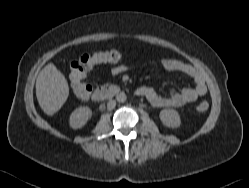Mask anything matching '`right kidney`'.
Returning a JSON list of instances; mask_svg holds the SVG:
<instances>
[{
    "label": "right kidney",
    "instance_id": "ca27d5eb",
    "mask_svg": "<svg viewBox=\"0 0 249 188\" xmlns=\"http://www.w3.org/2000/svg\"><path fill=\"white\" fill-rule=\"evenodd\" d=\"M92 111L89 107H79L75 109L69 119L70 127L73 129L82 128L90 119Z\"/></svg>",
    "mask_w": 249,
    "mask_h": 188
}]
</instances>
